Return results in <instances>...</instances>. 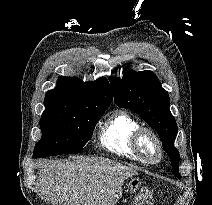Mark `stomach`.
<instances>
[{
    "instance_id": "0dacf381",
    "label": "stomach",
    "mask_w": 212,
    "mask_h": 205,
    "mask_svg": "<svg viewBox=\"0 0 212 205\" xmlns=\"http://www.w3.org/2000/svg\"><path fill=\"white\" fill-rule=\"evenodd\" d=\"M142 180L138 177H133L130 178L127 182V190L131 191V192H135L136 190H138V188L141 185Z\"/></svg>"
}]
</instances>
